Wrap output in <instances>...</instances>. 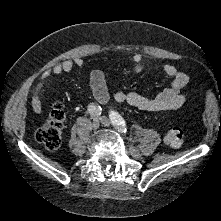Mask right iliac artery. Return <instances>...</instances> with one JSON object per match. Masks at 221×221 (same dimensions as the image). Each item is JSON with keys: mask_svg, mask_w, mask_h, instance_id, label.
<instances>
[{"mask_svg": "<svg viewBox=\"0 0 221 221\" xmlns=\"http://www.w3.org/2000/svg\"><path fill=\"white\" fill-rule=\"evenodd\" d=\"M88 111H89L90 115H92L94 117H98L102 113L101 107L97 106L95 103H91L88 106Z\"/></svg>", "mask_w": 221, "mask_h": 221, "instance_id": "82829eb1", "label": "right iliac artery"}]
</instances>
